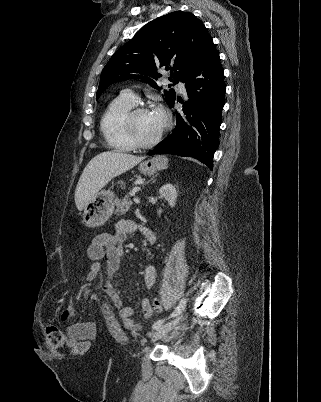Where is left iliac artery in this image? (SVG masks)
<instances>
[{
  "instance_id": "1",
  "label": "left iliac artery",
  "mask_w": 321,
  "mask_h": 402,
  "mask_svg": "<svg viewBox=\"0 0 321 402\" xmlns=\"http://www.w3.org/2000/svg\"><path fill=\"white\" fill-rule=\"evenodd\" d=\"M185 305H186V299L183 298V299L180 301V303H179V305L177 306V308L175 309V311L168 317V319L179 315V314L182 312V310L184 309ZM164 321H165V319L158 320V321L153 325V328H154L155 330L159 329V328L162 326V324L164 323Z\"/></svg>"
}]
</instances>
